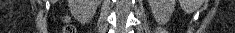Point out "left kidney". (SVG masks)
Wrapping results in <instances>:
<instances>
[{
	"mask_svg": "<svg viewBox=\"0 0 235 33\" xmlns=\"http://www.w3.org/2000/svg\"><path fill=\"white\" fill-rule=\"evenodd\" d=\"M154 17L162 22H167L174 9L175 0H148Z\"/></svg>",
	"mask_w": 235,
	"mask_h": 33,
	"instance_id": "5707ae66",
	"label": "left kidney"
}]
</instances>
